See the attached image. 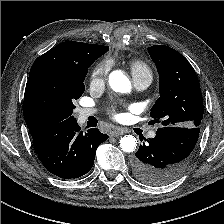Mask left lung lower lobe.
Listing matches in <instances>:
<instances>
[{"mask_svg": "<svg viewBox=\"0 0 224 224\" xmlns=\"http://www.w3.org/2000/svg\"><path fill=\"white\" fill-rule=\"evenodd\" d=\"M200 128L164 126L153 139L140 145L132 160L133 172L141 182L161 186L178 178L189 164Z\"/></svg>", "mask_w": 224, "mask_h": 224, "instance_id": "obj_1", "label": "left lung lower lobe"}]
</instances>
